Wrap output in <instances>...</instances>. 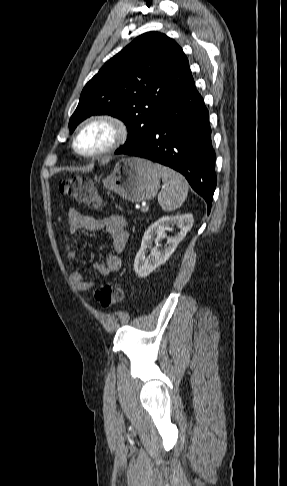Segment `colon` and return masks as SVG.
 I'll use <instances>...</instances> for the list:
<instances>
[{
	"label": "colon",
	"mask_w": 287,
	"mask_h": 486,
	"mask_svg": "<svg viewBox=\"0 0 287 486\" xmlns=\"http://www.w3.org/2000/svg\"><path fill=\"white\" fill-rule=\"evenodd\" d=\"M58 189L61 194L93 208H98L101 199L92 180L75 176L63 179L58 183ZM95 299L103 309H108L123 299V290L121 287L105 284L95 292Z\"/></svg>",
	"instance_id": "colon-1"
}]
</instances>
